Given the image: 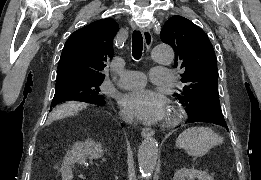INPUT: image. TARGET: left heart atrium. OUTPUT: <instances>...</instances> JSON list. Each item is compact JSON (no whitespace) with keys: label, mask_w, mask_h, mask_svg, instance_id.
Returning a JSON list of instances; mask_svg holds the SVG:
<instances>
[{"label":"left heart atrium","mask_w":261,"mask_h":180,"mask_svg":"<svg viewBox=\"0 0 261 180\" xmlns=\"http://www.w3.org/2000/svg\"><path fill=\"white\" fill-rule=\"evenodd\" d=\"M123 110L141 120L158 118L167 105V97L160 90L139 88L120 96Z\"/></svg>","instance_id":"1"}]
</instances>
